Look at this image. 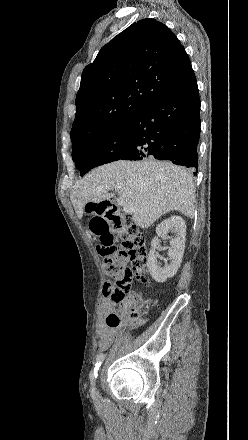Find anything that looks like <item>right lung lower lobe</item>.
Wrapping results in <instances>:
<instances>
[{
    "instance_id": "98d812e1",
    "label": "right lung lower lobe",
    "mask_w": 248,
    "mask_h": 440,
    "mask_svg": "<svg viewBox=\"0 0 248 440\" xmlns=\"http://www.w3.org/2000/svg\"><path fill=\"white\" fill-rule=\"evenodd\" d=\"M128 149L118 160H170L198 168L200 99L197 83L148 103L130 120Z\"/></svg>"
}]
</instances>
